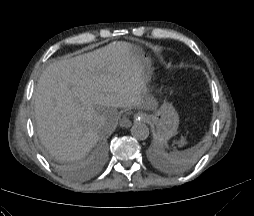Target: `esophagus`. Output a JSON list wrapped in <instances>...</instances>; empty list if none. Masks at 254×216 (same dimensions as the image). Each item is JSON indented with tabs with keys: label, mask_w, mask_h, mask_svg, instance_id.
Returning <instances> with one entry per match:
<instances>
[{
	"label": "esophagus",
	"mask_w": 254,
	"mask_h": 216,
	"mask_svg": "<svg viewBox=\"0 0 254 216\" xmlns=\"http://www.w3.org/2000/svg\"><path fill=\"white\" fill-rule=\"evenodd\" d=\"M135 119L136 120H139V121H145L146 119V116L142 113H138L136 116H135ZM120 126L122 127H125V128H128L131 126V122L130 120L127 118V116H124L121 120H120Z\"/></svg>",
	"instance_id": "1"
}]
</instances>
